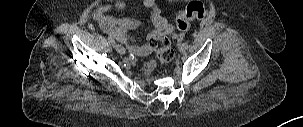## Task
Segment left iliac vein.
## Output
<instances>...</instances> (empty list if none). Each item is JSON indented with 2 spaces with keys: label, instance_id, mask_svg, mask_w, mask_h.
I'll return each mask as SVG.
<instances>
[{
  "label": "left iliac vein",
  "instance_id": "4c4485c4",
  "mask_svg": "<svg viewBox=\"0 0 303 127\" xmlns=\"http://www.w3.org/2000/svg\"><path fill=\"white\" fill-rule=\"evenodd\" d=\"M179 51L181 54H185L186 49H185L183 43L179 45Z\"/></svg>",
  "mask_w": 303,
  "mask_h": 127
}]
</instances>
